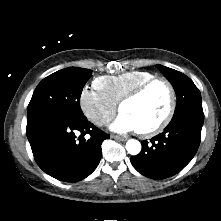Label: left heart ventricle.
I'll use <instances>...</instances> for the list:
<instances>
[{
	"label": "left heart ventricle",
	"mask_w": 221,
	"mask_h": 221,
	"mask_svg": "<svg viewBox=\"0 0 221 221\" xmlns=\"http://www.w3.org/2000/svg\"><path fill=\"white\" fill-rule=\"evenodd\" d=\"M169 95L165 86L156 83L143 95L123 105L121 112L130 115L137 123L139 130L156 125L165 115Z\"/></svg>",
	"instance_id": "left-heart-ventricle-1"
}]
</instances>
